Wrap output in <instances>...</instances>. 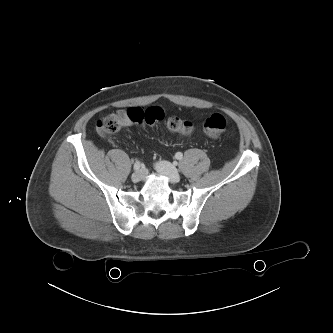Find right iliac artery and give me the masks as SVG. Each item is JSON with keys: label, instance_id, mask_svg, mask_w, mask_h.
I'll return each mask as SVG.
<instances>
[{"label": "right iliac artery", "instance_id": "82829eb1", "mask_svg": "<svg viewBox=\"0 0 333 333\" xmlns=\"http://www.w3.org/2000/svg\"><path fill=\"white\" fill-rule=\"evenodd\" d=\"M141 166H142V164L139 161H136L134 164V170H136V171L139 170Z\"/></svg>", "mask_w": 333, "mask_h": 333}]
</instances>
